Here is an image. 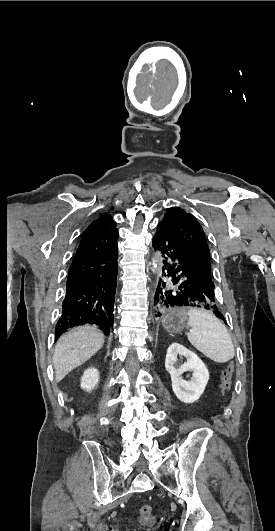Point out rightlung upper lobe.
<instances>
[{"instance_id": "obj_1", "label": "right lung upper lobe", "mask_w": 275, "mask_h": 531, "mask_svg": "<svg viewBox=\"0 0 275 531\" xmlns=\"http://www.w3.org/2000/svg\"><path fill=\"white\" fill-rule=\"evenodd\" d=\"M113 229H116V223L112 217L108 214H102L96 221L87 227V229L83 232L82 237L95 231H106Z\"/></svg>"}]
</instances>
